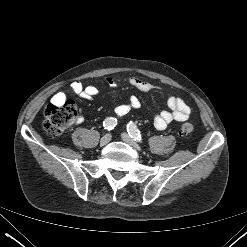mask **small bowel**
Returning a JSON list of instances; mask_svg holds the SVG:
<instances>
[{
    "label": "small bowel",
    "mask_w": 247,
    "mask_h": 247,
    "mask_svg": "<svg viewBox=\"0 0 247 247\" xmlns=\"http://www.w3.org/2000/svg\"><path fill=\"white\" fill-rule=\"evenodd\" d=\"M107 83L111 87H116V82L112 78L107 79ZM128 83L139 91L147 92L157 88L151 82L138 77H130ZM72 91L79 97L92 100L98 95L99 90L94 85L84 86L80 81H75L71 84ZM66 99L64 92H58L52 97V102L62 103ZM141 102L138 97L131 96L126 103L115 107L114 113L117 117H123L132 110L139 109ZM168 110H163L156 114L153 119V124L156 129H165L172 121H186L191 113L189 105L181 98L172 96L167 101ZM80 121V119H79Z\"/></svg>",
    "instance_id": "obj_1"
}]
</instances>
